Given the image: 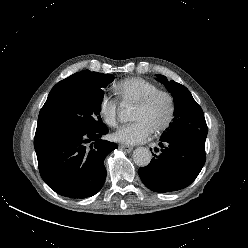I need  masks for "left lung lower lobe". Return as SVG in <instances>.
Listing matches in <instances>:
<instances>
[{
    "label": "left lung lower lobe",
    "mask_w": 248,
    "mask_h": 248,
    "mask_svg": "<svg viewBox=\"0 0 248 248\" xmlns=\"http://www.w3.org/2000/svg\"><path fill=\"white\" fill-rule=\"evenodd\" d=\"M159 146L161 153L138 170L144 185L159 193L190 185L205 164V140L179 134L161 138Z\"/></svg>",
    "instance_id": "left-lung-lower-lobe-1"
}]
</instances>
